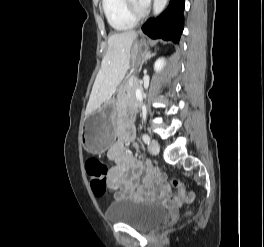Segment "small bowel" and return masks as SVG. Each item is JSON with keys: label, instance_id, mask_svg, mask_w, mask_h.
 <instances>
[{"label": "small bowel", "instance_id": "small-bowel-1", "mask_svg": "<svg viewBox=\"0 0 264 247\" xmlns=\"http://www.w3.org/2000/svg\"><path fill=\"white\" fill-rule=\"evenodd\" d=\"M135 125L127 120L119 129L118 139L108 151V156L115 162L109 170V185L117 192L116 199L151 198L157 201L169 196V186L165 175L149 161H136L125 146L131 144L134 150L139 145L134 141Z\"/></svg>", "mask_w": 264, "mask_h": 247}]
</instances>
